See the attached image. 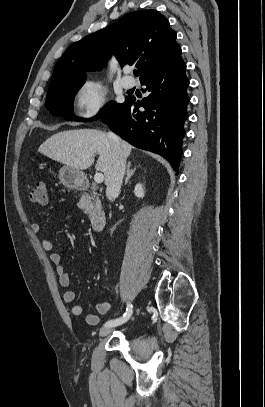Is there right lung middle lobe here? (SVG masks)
<instances>
[{
    "mask_svg": "<svg viewBox=\"0 0 265 407\" xmlns=\"http://www.w3.org/2000/svg\"><path fill=\"white\" fill-rule=\"evenodd\" d=\"M85 81L81 82H58L49 86L45 107L52 115L62 116L68 120L87 121L82 118H76L73 115V101L76 93L82 87ZM118 104L112 102L101 112L90 120L104 116L113 110Z\"/></svg>",
    "mask_w": 265,
    "mask_h": 407,
    "instance_id": "right-lung-middle-lobe-1",
    "label": "right lung middle lobe"
}]
</instances>
